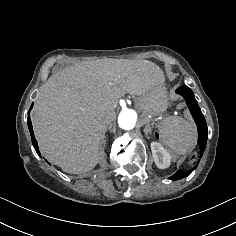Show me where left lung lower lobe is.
Returning a JSON list of instances; mask_svg holds the SVG:
<instances>
[{"label": "left lung lower lobe", "instance_id": "obj_1", "mask_svg": "<svg viewBox=\"0 0 236 236\" xmlns=\"http://www.w3.org/2000/svg\"><path fill=\"white\" fill-rule=\"evenodd\" d=\"M176 93L182 95L185 98L186 103L190 109V112L197 124L198 144L200 146V156L193 169L185 171V172L178 170L173 176L170 177L172 180H180L182 178L187 177L197 167L200 161V158L202 157L204 153L206 143H207V138H208V129H207L206 121L198 106L197 100L195 99L192 90L188 88L187 86H181L176 90Z\"/></svg>", "mask_w": 236, "mask_h": 236}]
</instances>
